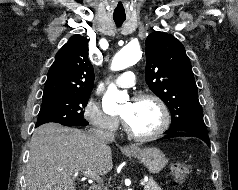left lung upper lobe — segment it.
Wrapping results in <instances>:
<instances>
[{
	"mask_svg": "<svg viewBox=\"0 0 238 190\" xmlns=\"http://www.w3.org/2000/svg\"><path fill=\"white\" fill-rule=\"evenodd\" d=\"M146 82L171 112L170 129L204 125L192 66L183 44L155 31L146 39Z\"/></svg>",
	"mask_w": 238,
	"mask_h": 190,
	"instance_id": "1",
	"label": "left lung upper lobe"
}]
</instances>
